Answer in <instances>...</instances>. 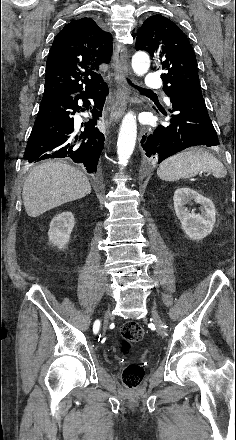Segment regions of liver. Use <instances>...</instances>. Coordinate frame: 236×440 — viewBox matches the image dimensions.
Wrapping results in <instances>:
<instances>
[{
	"label": "liver",
	"mask_w": 236,
	"mask_h": 440,
	"mask_svg": "<svg viewBox=\"0 0 236 440\" xmlns=\"http://www.w3.org/2000/svg\"><path fill=\"white\" fill-rule=\"evenodd\" d=\"M91 192L88 178L61 162L36 166L23 186V203L29 217H38L64 203L81 199Z\"/></svg>",
	"instance_id": "6515ba94"
}]
</instances>
